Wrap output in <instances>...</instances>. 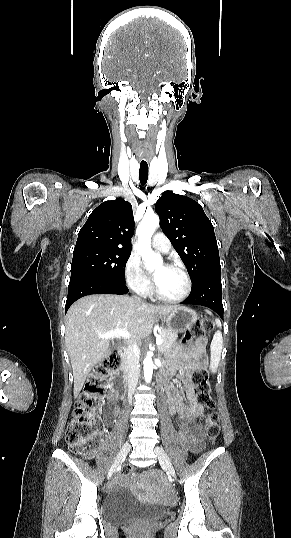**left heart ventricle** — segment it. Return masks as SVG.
Wrapping results in <instances>:
<instances>
[{
	"label": "left heart ventricle",
	"mask_w": 291,
	"mask_h": 538,
	"mask_svg": "<svg viewBox=\"0 0 291 538\" xmlns=\"http://www.w3.org/2000/svg\"><path fill=\"white\" fill-rule=\"evenodd\" d=\"M153 276L159 291L167 297H177L185 290L186 283L183 275L164 264H159L154 268Z\"/></svg>",
	"instance_id": "1"
}]
</instances>
